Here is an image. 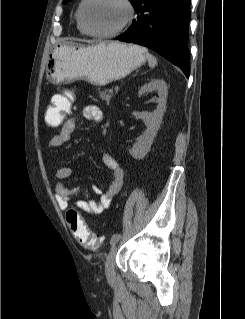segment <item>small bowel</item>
Listing matches in <instances>:
<instances>
[{
    "instance_id": "c3829d8e",
    "label": "small bowel",
    "mask_w": 245,
    "mask_h": 319,
    "mask_svg": "<svg viewBox=\"0 0 245 319\" xmlns=\"http://www.w3.org/2000/svg\"><path fill=\"white\" fill-rule=\"evenodd\" d=\"M54 97L52 99V102L54 100ZM82 116L85 119L96 123L101 122L103 119V113L101 109L96 105H88L84 107L82 110ZM75 124V117L67 118L63 122L61 129L52 137L50 146L53 148H58L68 143L75 130ZM102 161L104 165L111 171L112 179L105 190H103L99 186L92 187V191L99 195L97 200H94L82 185L77 184L68 186L63 182L70 178L72 174V170L70 167L62 166L58 168L56 177L61 182L56 185L55 198L61 210H66L68 208L70 200L81 194H84V198L76 201L75 205L86 213L94 216H99L102 215L109 208L113 197L116 196L122 188L124 180V170L119 165L114 156L110 153H103Z\"/></svg>"
}]
</instances>
